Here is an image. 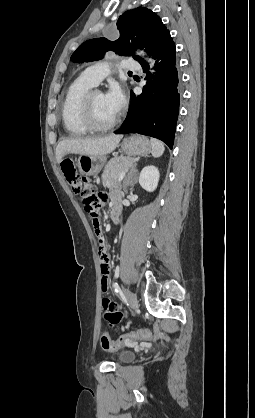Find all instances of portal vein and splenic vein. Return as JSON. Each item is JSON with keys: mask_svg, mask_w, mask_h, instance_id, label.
Wrapping results in <instances>:
<instances>
[{"mask_svg": "<svg viewBox=\"0 0 255 418\" xmlns=\"http://www.w3.org/2000/svg\"><path fill=\"white\" fill-rule=\"evenodd\" d=\"M126 172H127V170H124V171H122L121 172V174L119 175V178H118V182H120V181H122L123 180V178L125 177V175H126Z\"/></svg>", "mask_w": 255, "mask_h": 418, "instance_id": "obj_1", "label": "portal vein and splenic vein"}]
</instances>
